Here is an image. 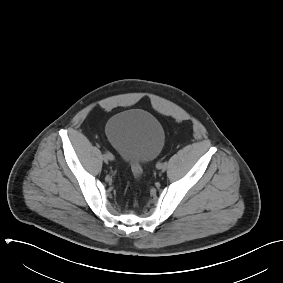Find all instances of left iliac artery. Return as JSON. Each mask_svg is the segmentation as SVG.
<instances>
[{
  "label": "left iliac artery",
  "instance_id": "44dca946",
  "mask_svg": "<svg viewBox=\"0 0 283 283\" xmlns=\"http://www.w3.org/2000/svg\"><path fill=\"white\" fill-rule=\"evenodd\" d=\"M161 164H166V165H167V162H164V163L158 162V163H157V167H158L159 165H161Z\"/></svg>",
  "mask_w": 283,
  "mask_h": 283
}]
</instances>
